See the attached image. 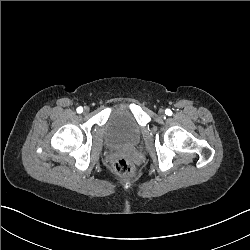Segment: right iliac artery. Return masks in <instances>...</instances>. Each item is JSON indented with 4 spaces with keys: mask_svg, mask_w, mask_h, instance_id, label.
Returning a JSON list of instances; mask_svg holds the SVG:
<instances>
[{
    "mask_svg": "<svg viewBox=\"0 0 250 250\" xmlns=\"http://www.w3.org/2000/svg\"><path fill=\"white\" fill-rule=\"evenodd\" d=\"M76 110H77V113H82L83 112V108L81 106L78 107Z\"/></svg>",
    "mask_w": 250,
    "mask_h": 250,
    "instance_id": "right-iliac-artery-1",
    "label": "right iliac artery"
}]
</instances>
